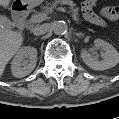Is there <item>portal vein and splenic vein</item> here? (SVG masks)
<instances>
[{"mask_svg": "<svg viewBox=\"0 0 119 119\" xmlns=\"http://www.w3.org/2000/svg\"><path fill=\"white\" fill-rule=\"evenodd\" d=\"M57 10L61 12H66L65 8L63 7H59L57 8ZM46 18H47V15L45 13H40L35 15L33 19L35 22H41V21H44Z\"/></svg>", "mask_w": 119, "mask_h": 119, "instance_id": "portal-vein-and-splenic-vein-1", "label": "portal vein and splenic vein"}]
</instances>
